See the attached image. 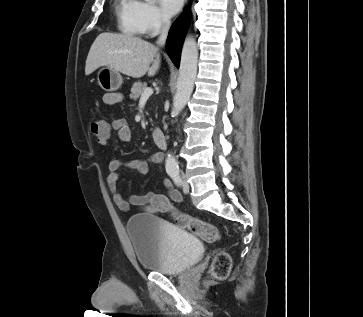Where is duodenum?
I'll return each mask as SVG.
<instances>
[{"label": "duodenum", "mask_w": 363, "mask_h": 317, "mask_svg": "<svg viewBox=\"0 0 363 317\" xmlns=\"http://www.w3.org/2000/svg\"><path fill=\"white\" fill-rule=\"evenodd\" d=\"M152 139L159 148H166L167 142L164 133L160 129H155L152 132Z\"/></svg>", "instance_id": "obj_1"}]
</instances>
